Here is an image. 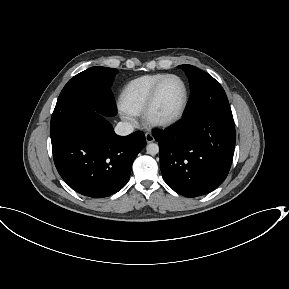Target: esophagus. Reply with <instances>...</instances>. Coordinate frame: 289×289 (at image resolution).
<instances>
[{"label":"esophagus","instance_id":"34e87169","mask_svg":"<svg viewBox=\"0 0 289 289\" xmlns=\"http://www.w3.org/2000/svg\"><path fill=\"white\" fill-rule=\"evenodd\" d=\"M145 139H146L147 143H151V142L154 141V137H153V135L151 133H146L145 134Z\"/></svg>","mask_w":289,"mask_h":289}]
</instances>
